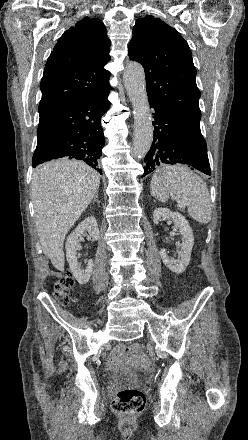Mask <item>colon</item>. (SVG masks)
<instances>
[{"mask_svg": "<svg viewBox=\"0 0 248 440\" xmlns=\"http://www.w3.org/2000/svg\"><path fill=\"white\" fill-rule=\"evenodd\" d=\"M74 286V280L70 275H67L53 284V293L55 298L63 305H67L70 301V292ZM125 350L140 353L141 345L133 343L125 346ZM138 377L143 378L144 373L141 370H136ZM145 395L137 388H122L118 390L112 402V410L117 416L129 417L140 413L145 406Z\"/></svg>", "mask_w": 248, "mask_h": 440, "instance_id": "1", "label": "colon"}]
</instances>
